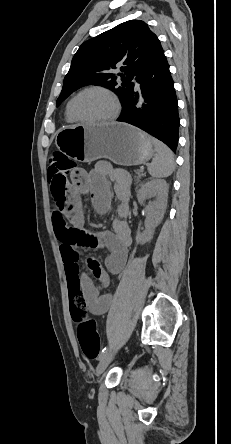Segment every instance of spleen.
<instances>
[{"label": "spleen", "mask_w": 231, "mask_h": 444, "mask_svg": "<svg viewBox=\"0 0 231 444\" xmlns=\"http://www.w3.org/2000/svg\"><path fill=\"white\" fill-rule=\"evenodd\" d=\"M155 155L148 165V172L154 178H165L172 174L175 163L174 154L163 142L152 139Z\"/></svg>", "instance_id": "3e777b00"}]
</instances>
